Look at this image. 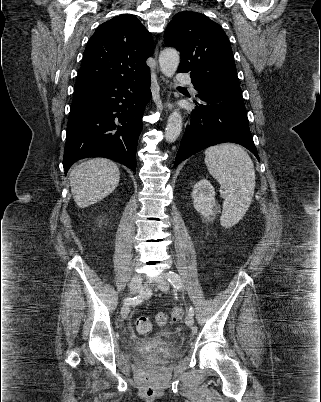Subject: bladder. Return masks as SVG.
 Instances as JSON below:
<instances>
[{
  "instance_id": "bladder-1",
  "label": "bladder",
  "mask_w": 321,
  "mask_h": 402,
  "mask_svg": "<svg viewBox=\"0 0 321 402\" xmlns=\"http://www.w3.org/2000/svg\"><path fill=\"white\" fill-rule=\"evenodd\" d=\"M168 336H151L149 338L144 339L140 346L138 347V351L142 354L146 355L153 362L164 363L170 359V356L163 351V347L159 345L160 341L166 339Z\"/></svg>"
}]
</instances>
